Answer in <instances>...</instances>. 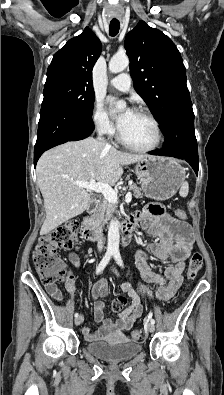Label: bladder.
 <instances>
[{"instance_id":"obj_1","label":"bladder","mask_w":224,"mask_h":395,"mask_svg":"<svg viewBox=\"0 0 224 395\" xmlns=\"http://www.w3.org/2000/svg\"><path fill=\"white\" fill-rule=\"evenodd\" d=\"M86 350L108 362H122L133 359L141 350L142 345L135 341H130L126 337L117 340H101L85 344Z\"/></svg>"}]
</instances>
